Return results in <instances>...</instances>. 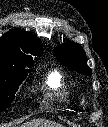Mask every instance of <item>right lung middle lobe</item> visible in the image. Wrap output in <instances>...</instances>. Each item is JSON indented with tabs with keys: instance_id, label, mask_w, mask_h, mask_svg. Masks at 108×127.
Instances as JSON below:
<instances>
[{
	"instance_id": "1",
	"label": "right lung middle lobe",
	"mask_w": 108,
	"mask_h": 127,
	"mask_svg": "<svg viewBox=\"0 0 108 127\" xmlns=\"http://www.w3.org/2000/svg\"><path fill=\"white\" fill-rule=\"evenodd\" d=\"M15 61H0V112L15 98L19 85L26 78L29 69Z\"/></svg>"
}]
</instances>
